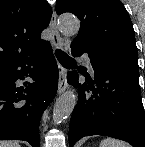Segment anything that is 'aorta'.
Returning <instances> with one entry per match:
<instances>
[{"label": "aorta", "mask_w": 145, "mask_h": 147, "mask_svg": "<svg viewBox=\"0 0 145 147\" xmlns=\"http://www.w3.org/2000/svg\"><path fill=\"white\" fill-rule=\"evenodd\" d=\"M58 28L61 33L65 35H74L79 31V20L71 15L65 14L58 18ZM77 103V95L73 91H66L62 94L55 103L53 110V122L60 124L67 119L73 112Z\"/></svg>", "instance_id": "obj_1"}]
</instances>
